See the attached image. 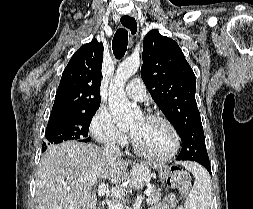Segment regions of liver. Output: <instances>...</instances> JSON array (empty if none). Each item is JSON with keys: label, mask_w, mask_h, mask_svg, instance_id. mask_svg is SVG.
Returning a JSON list of instances; mask_svg holds the SVG:
<instances>
[{"label": "liver", "mask_w": 253, "mask_h": 209, "mask_svg": "<svg viewBox=\"0 0 253 209\" xmlns=\"http://www.w3.org/2000/svg\"><path fill=\"white\" fill-rule=\"evenodd\" d=\"M128 166L93 144L69 141L50 146L37 171V209H97L96 195L91 193L97 182L111 184V196L120 197L126 186L139 189L150 180L144 164L130 173Z\"/></svg>", "instance_id": "1"}]
</instances>
